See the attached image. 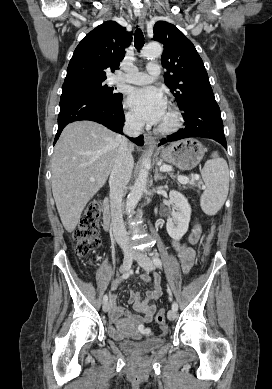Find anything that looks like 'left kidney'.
Here are the masks:
<instances>
[{"instance_id": "1", "label": "left kidney", "mask_w": 272, "mask_h": 389, "mask_svg": "<svg viewBox=\"0 0 272 389\" xmlns=\"http://www.w3.org/2000/svg\"><path fill=\"white\" fill-rule=\"evenodd\" d=\"M169 198L174 203L175 211L171 213L166 229L171 238L179 240L188 231L191 206L185 196L178 191H170Z\"/></svg>"}]
</instances>
